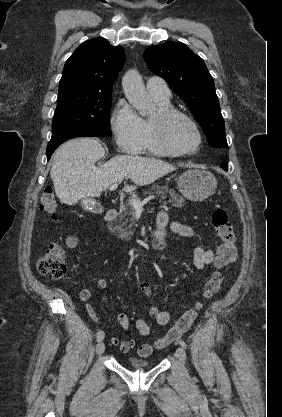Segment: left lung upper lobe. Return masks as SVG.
<instances>
[{"label":"left lung upper lobe","instance_id":"1","mask_svg":"<svg viewBox=\"0 0 282 417\" xmlns=\"http://www.w3.org/2000/svg\"><path fill=\"white\" fill-rule=\"evenodd\" d=\"M144 59L149 69L164 78L182 98L212 147H227L224 120L213 78L204 61L185 44L169 41L147 48Z\"/></svg>","mask_w":282,"mask_h":417}]
</instances>
